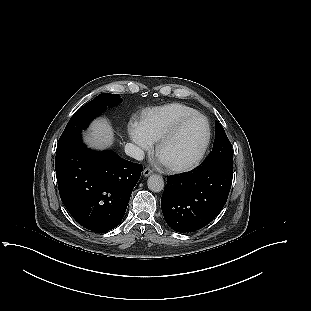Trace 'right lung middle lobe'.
<instances>
[{
    "label": "right lung middle lobe",
    "instance_id": "dd1d6c3e",
    "mask_svg": "<svg viewBox=\"0 0 311 311\" xmlns=\"http://www.w3.org/2000/svg\"><path fill=\"white\" fill-rule=\"evenodd\" d=\"M121 101L119 94H100L82 106L68 122L58 141L57 148L80 136L82 129L86 128L95 117L100 115L107 107L114 106Z\"/></svg>",
    "mask_w": 311,
    "mask_h": 311
}]
</instances>
